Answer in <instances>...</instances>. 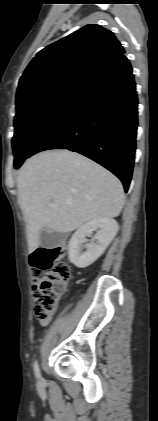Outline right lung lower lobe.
Masks as SVG:
<instances>
[{
    "instance_id": "right-lung-lower-lobe-1",
    "label": "right lung lower lobe",
    "mask_w": 158,
    "mask_h": 421,
    "mask_svg": "<svg viewBox=\"0 0 158 421\" xmlns=\"http://www.w3.org/2000/svg\"><path fill=\"white\" fill-rule=\"evenodd\" d=\"M137 93L132 67L121 56L95 74L32 148L78 152L114 173L127 192L135 149Z\"/></svg>"
}]
</instances>
